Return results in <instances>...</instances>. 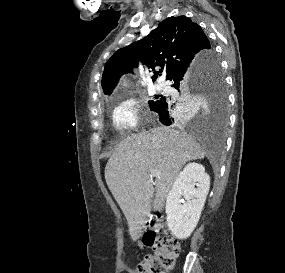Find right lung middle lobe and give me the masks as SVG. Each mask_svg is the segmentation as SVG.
I'll use <instances>...</instances> for the list:
<instances>
[{
  "instance_id": "1",
  "label": "right lung middle lobe",
  "mask_w": 285,
  "mask_h": 273,
  "mask_svg": "<svg viewBox=\"0 0 285 273\" xmlns=\"http://www.w3.org/2000/svg\"><path fill=\"white\" fill-rule=\"evenodd\" d=\"M198 91L193 92L186 90L181 92V96L176 99H171L169 97L157 96L155 98L159 99L157 101H150V109L152 110L160 100L169 101L171 111L178 115L181 112L182 107L187 104H191L194 100L193 97L198 95L201 98L213 101L220 112V126L225 128L227 124V93L225 87V79L221 71L220 63L213 52L208 57V63L204 73L200 76L198 81Z\"/></svg>"
}]
</instances>
